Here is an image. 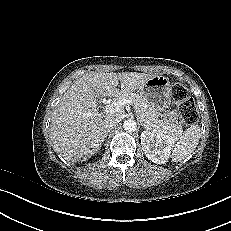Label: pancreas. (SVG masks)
I'll return each instance as SVG.
<instances>
[{"instance_id":"cf45deb5","label":"pancreas","mask_w":231,"mask_h":231,"mask_svg":"<svg viewBox=\"0 0 231 231\" xmlns=\"http://www.w3.org/2000/svg\"><path fill=\"white\" fill-rule=\"evenodd\" d=\"M120 99H128L131 101L138 117L148 129L173 137H180L182 134L183 129L178 122H169L168 120L159 119L160 114L157 110L146 103L139 95L133 93L121 95L116 100Z\"/></svg>"}]
</instances>
